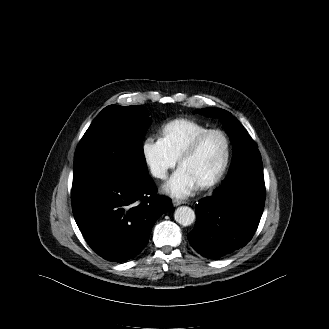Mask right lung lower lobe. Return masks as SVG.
Here are the masks:
<instances>
[{"label":"right lung lower lobe","instance_id":"1","mask_svg":"<svg viewBox=\"0 0 329 329\" xmlns=\"http://www.w3.org/2000/svg\"><path fill=\"white\" fill-rule=\"evenodd\" d=\"M156 191L149 175L131 182L100 173L73 183L74 218L90 247L109 261L139 254L156 220L172 208Z\"/></svg>","mask_w":329,"mask_h":329}]
</instances>
